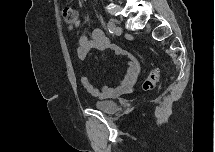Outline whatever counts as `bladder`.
Segmentation results:
<instances>
[{
  "label": "bladder",
  "mask_w": 215,
  "mask_h": 152,
  "mask_svg": "<svg viewBox=\"0 0 215 152\" xmlns=\"http://www.w3.org/2000/svg\"><path fill=\"white\" fill-rule=\"evenodd\" d=\"M93 106L108 115L115 114L118 109V104L112 101H95Z\"/></svg>",
  "instance_id": "31cf9c89"
}]
</instances>
